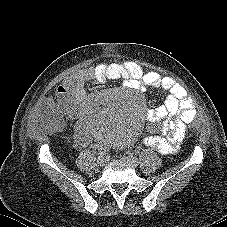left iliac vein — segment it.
I'll use <instances>...</instances> for the list:
<instances>
[{"instance_id":"obj_1","label":"left iliac vein","mask_w":227,"mask_h":227,"mask_svg":"<svg viewBox=\"0 0 227 227\" xmlns=\"http://www.w3.org/2000/svg\"><path fill=\"white\" fill-rule=\"evenodd\" d=\"M124 161H126L127 163L133 165V166H137L139 164V160L136 156L132 155V154H128L126 156H123L122 158Z\"/></svg>"}]
</instances>
